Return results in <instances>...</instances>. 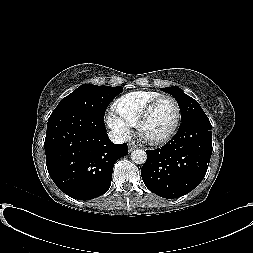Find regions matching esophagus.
Instances as JSON below:
<instances>
[{
	"instance_id": "1",
	"label": "esophagus",
	"mask_w": 253,
	"mask_h": 253,
	"mask_svg": "<svg viewBox=\"0 0 253 253\" xmlns=\"http://www.w3.org/2000/svg\"><path fill=\"white\" fill-rule=\"evenodd\" d=\"M137 148H138V145L135 144V142H129L128 143V150H129V152H131V151H133V150H135Z\"/></svg>"
}]
</instances>
